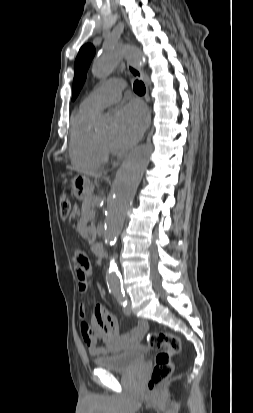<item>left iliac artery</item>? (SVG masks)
Masks as SVG:
<instances>
[{"label":"left iliac artery","mask_w":253,"mask_h":413,"mask_svg":"<svg viewBox=\"0 0 253 413\" xmlns=\"http://www.w3.org/2000/svg\"><path fill=\"white\" fill-rule=\"evenodd\" d=\"M113 295L123 307L127 305V299L125 298V293L122 289L114 290Z\"/></svg>","instance_id":"obj_1"}]
</instances>
